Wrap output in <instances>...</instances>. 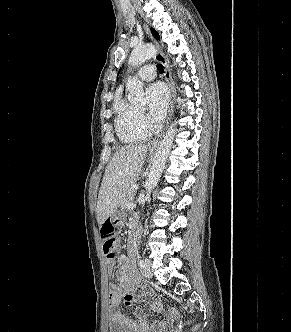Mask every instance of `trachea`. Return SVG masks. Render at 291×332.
<instances>
[{
    "mask_svg": "<svg viewBox=\"0 0 291 332\" xmlns=\"http://www.w3.org/2000/svg\"><path fill=\"white\" fill-rule=\"evenodd\" d=\"M157 69H158L161 73H164L163 65L158 64V65H157Z\"/></svg>",
    "mask_w": 291,
    "mask_h": 332,
    "instance_id": "trachea-1",
    "label": "trachea"
}]
</instances>
